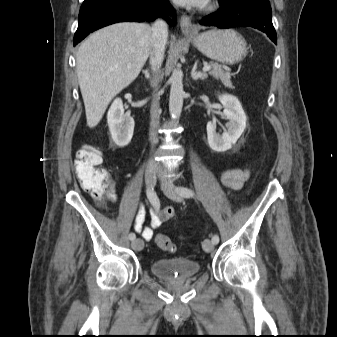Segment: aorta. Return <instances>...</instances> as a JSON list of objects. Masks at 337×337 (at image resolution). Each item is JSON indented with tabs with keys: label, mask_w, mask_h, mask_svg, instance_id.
<instances>
[{
	"label": "aorta",
	"mask_w": 337,
	"mask_h": 337,
	"mask_svg": "<svg viewBox=\"0 0 337 337\" xmlns=\"http://www.w3.org/2000/svg\"><path fill=\"white\" fill-rule=\"evenodd\" d=\"M170 82L169 112L171 118L177 120L181 115L184 99L183 72L180 68H174Z\"/></svg>",
	"instance_id": "obj_1"
}]
</instances>
